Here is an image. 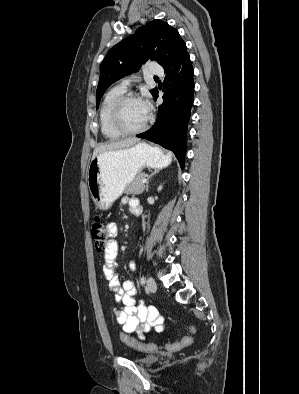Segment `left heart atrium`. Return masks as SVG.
<instances>
[{"label":"left heart atrium","instance_id":"left-heart-atrium-1","mask_svg":"<svg viewBox=\"0 0 299 394\" xmlns=\"http://www.w3.org/2000/svg\"><path fill=\"white\" fill-rule=\"evenodd\" d=\"M141 102H142L143 107L146 110V112L149 113L150 108H151L150 102L148 100H142Z\"/></svg>","mask_w":299,"mask_h":394}]
</instances>
